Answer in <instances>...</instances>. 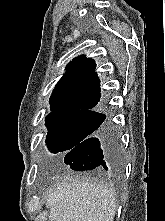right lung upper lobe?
<instances>
[{"mask_svg":"<svg viewBox=\"0 0 165 221\" xmlns=\"http://www.w3.org/2000/svg\"><path fill=\"white\" fill-rule=\"evenodd\" d=\"M96 64L84 55L74 58L57 83L50 98L51 111L94 113L100 99V80Z\"/></svg>","mask_w":165,"mask_h":221,"instance_id":"cb5924a9","label":"right lung upper lobe"}]
</instances>
